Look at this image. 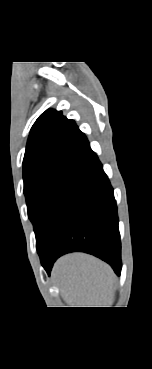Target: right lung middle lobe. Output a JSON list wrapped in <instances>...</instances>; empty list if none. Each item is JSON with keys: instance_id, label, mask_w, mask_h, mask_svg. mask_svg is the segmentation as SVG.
Masks as SVG:
<instances>
[{"instance_id": "1", "label": "right lung middle lobe", "mask_w": 152, "mask_h": 369, "mask_svg": "<svg viewBox=\"0 0 152 369\" xmlns=\"http://www.w3.org/2000/svg\"><path fill=\"white\" fill-rule=\"evenodd\" d=\"M80 164L61 163L23 175L28 217L33 223L36 247L42 241L54 208Z\"/></svg>"}]
</instances>
